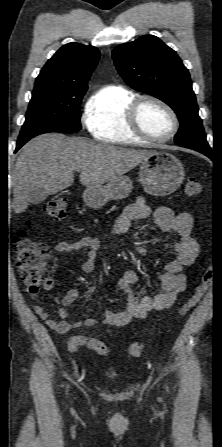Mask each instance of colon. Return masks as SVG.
I'll return each mask as SVG.
<instances>
[{
	"mask_svg": "<svg viewBox=\"0 0 222 447\" xmlns=\"http://www.w3.org/2000/svg\"><path fill=\"white\" fill-rule=\"evenodd\" d=\"M201 191L202 187L199 181L194 177L188 178L185 185V194L193 197L199 195ZM67 208V199L56 197L46 202L44 213L53 220H62L67 215ZM13 248L16 253L15 264L19 277L24 283L27 293L32 297H36L40 288L52 278L48 268L51 250L47 244L31 239L23 229L16 233L13 239ZM213 277V266H206L193 293L179 306V315L187 314L198 304L210 286ZM92 349L102 356L109 354L108 346L99 340L93 342ZM142 351L143 345L138 342L132 343L128 348V354L133 358L139 357Z\"/></svg>",
	"mask_w": 222,
	"mask_h": 447,
	"instance_id": "1",
	"label": "colon"
}]
</instances>
